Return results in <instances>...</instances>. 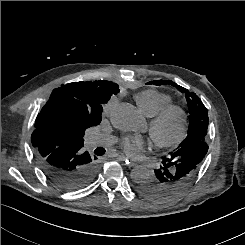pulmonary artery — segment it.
Masks as SVG:
<instances>
[{
	"label": "pulmonary artery",
	"instance_id": "obj_1",
	"mask_svg": "<svg viewBox=\"0 0 245 245\" xmlns=\"http://www.w3.org/2000/svg\"><path fill=\"white\" fill-rule=\"evenodd\" d=\"M115 142V138L105 134H94L87 140V144L90 148L97 146H109Z\"/></svg>",
	"mask_w": 245,
	"mask_h": 245
}]
</instances>
